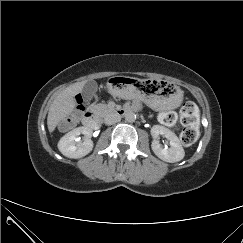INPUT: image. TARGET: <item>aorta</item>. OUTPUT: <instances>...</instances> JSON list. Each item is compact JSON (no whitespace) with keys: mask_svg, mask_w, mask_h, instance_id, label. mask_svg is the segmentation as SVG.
<instances>
[{"mask_svg":"<svg viewBox=\"0 0 243 243\" xmlns=\"http://www.w3.org/2000/svg\"><path fill=\"white\" fill-rule=\"evenodd\" d=\"M125 120L127 121V122H129V123H132V122H134L135 120H136V115H135V113L134 112H127L126 114H125Z\"/></svg>","mask_w":243,"mask_h":243,"instance_id":"762f6f07","label":"aorta"}]
</instances>
